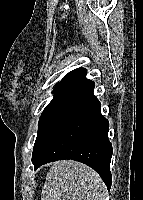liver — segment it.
<instances>
[{"label": "liver", "instance_id": "6515ba94", "mask_svg": "<svg viewBox=\"0 0 143 200\" xmlns=\"http://www.w3.org/2000/svg\"><path fill=\"white\" fill-rule=\"evenodd\" d=\"M106 186L89 166L72 160L54 162L46 175L41 200H104Z\"/></svg>", "mask_w": 143, "mask_h": 200}]
</instances>
